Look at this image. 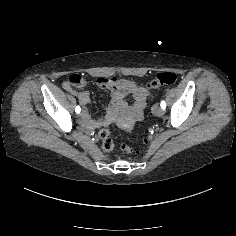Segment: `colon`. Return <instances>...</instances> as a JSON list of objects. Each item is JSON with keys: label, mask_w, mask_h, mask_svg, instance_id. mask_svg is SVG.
<instances>
[{"label": "colon", "mask_w": 236, "mask_h": 236, "mask_svg": "<svg viewBox=\"0 0 236 236\" xmlns=\"http://www.w3.org/2000/svg\"><path fill=\"white\" fill-rule=\"evenodd\" d=\"M177 79V76L174 72H170V71H165V72H160L156 75V77L150 81L147 86L148 88L151 89H156L162 86H169L171 84H173ZM69 83L72 86H76V87H81L83 85H85L86 83V79L79 75V74H73L69 77ZM101 81L103 83L107 82V79H101ZM99 137L102 140V148L105 152H111L113 150L114 147V143L110 138L109 135V131L107 129H101L99 131ZM121 149L127 153H131V154H139L140 150L138 149H133L132 147L126 145V144H122L121 145Z\"/></svg>", "instance_id": "1"}]
</instances>
